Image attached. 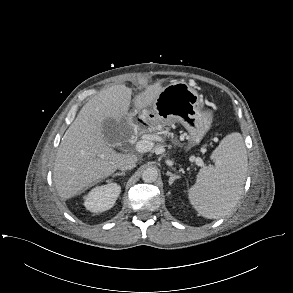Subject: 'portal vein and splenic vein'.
<instances>
[{
	"mask_svg": "<svg viewBox=\"0 0 293 293\" xmlns=\"http://www.w3.org/2000/svg\"><path fill=\"white\" fill-rule=\"evenodd\" d=\"M154 147V143L150 140H139L136 142L135 148L140 153L150 151ZM192 161H195L198 166H203L204 162L199 157H193Z\"/></svg>",
	"mask_w": 293,
	"mask_h": 293,
	"instance_id": "obj_1",
	"label": "portal vein and splenic vein"
}]
</instances>
